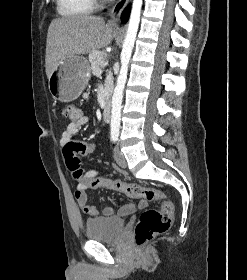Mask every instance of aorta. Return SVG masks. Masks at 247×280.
I'll return each instance as SVG.
<instances>
[{"instance_id": "aorta-1", "label": "aorta", "mask_w": 247, "mask_h": 280, "mask_svg": "<svg viewBox=\"0 0 247 280\" xmlns=\"http://www.w3.org/2000/svg\"><path fill=\"white\" fill-rule=\"evenodd\" d=\"M143 0H133L131 15L128 28L121 52V69L117 78L116 87L112 97L111 111V135L118 136L121 121V105L123 91L127 80L128 64L131 58L132 50L135 44L136 35L140 22L141 7Z\"/></svg>"}]
</instances>
